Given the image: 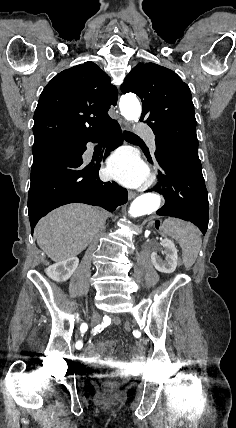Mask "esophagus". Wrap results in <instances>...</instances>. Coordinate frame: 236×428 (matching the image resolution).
Returning a JSON list of instances; mask_svg holds the SVG:
<instances>
[{
  "label": "esophagus",
  "mask_w": 236,
  "mask_h": 428,
  "mask_svg": "<svg viewBox=\"0 0 236 428\" xmlns=\"http://www.w3.org/2000/svg\"><path fill=\"white\" fill-rule=\"evenodd\" d=\"M119 125L123 131H128L130 129L129 124L122 118L119 120ZM135 196L136 193L134 191L129 192V199L134 198Z\"/></svg>",
  "instance_id": "obj_1"
}]
</instances>
